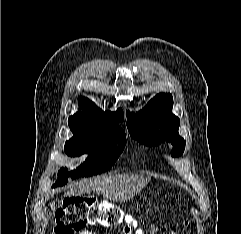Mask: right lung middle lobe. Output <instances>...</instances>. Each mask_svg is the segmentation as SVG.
I'll list each match as a JSON object with an SVG mask.
<instances>
[{
	"label": "right lung middle lobe",
	"instance_id": "right-lung-middle-lobe-1",
	"mask_svg": "<svg viewBox=\"0 0 241 234\" xmlns=\"http://www.w3.org/2000/svg\"><path fill=\"white\" fill-rule=\"evenodd\" d=\"M73 137L65 143L68 156L76 157L89 152L88 158L78 168L70 172L61 168L53 187L65 185L68 178L88 177L108 170L123 151L126 136L123 131L81 130L69 124ZM120 138V145L114 141Z\"/></svg>",
	"mask_w": 241,
	"mask_h": 234
}]
</instances>
